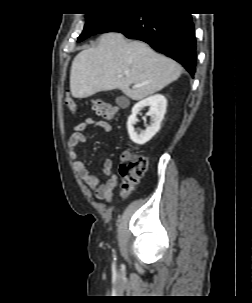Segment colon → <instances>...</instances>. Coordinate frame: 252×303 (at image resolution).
<instances>
[{
    "mask_svg": "<svg viewBox=\"0 0 252 303\" xmlns=\"http://www.w3.org/2000/svg\"><path fill=\"white\" fill-rule=\"evenodd\" d=\"M65 105L70 112H75L77 105L73 97L65 99ZM93 108L101 114L106 121H110L116 114L117 108L110 103L95 99ZM147 157L142 154L125 152L122 155L119 173L123 178L122 194L127 196L147 170Z\"/></svg>",
    "mask_w": 252,
    "mask_h": 303,
    "instance_id": "colon-1",
    "label": "colon"
}]
</instances>
